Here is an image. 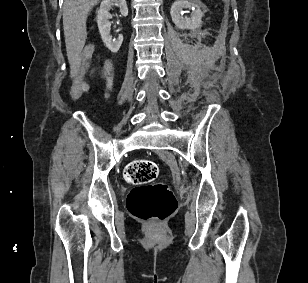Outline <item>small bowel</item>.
<instances>
[{"label":"small bowel","mask_w":308,"mask_h":283,"mask_svg":"<svg viewBox=\"0 0 308 283\" xmlns=\"http://www.w3.org/2000/svg\"><path fill=\"white\" fill-rule=\"evenodd\" d=\"M77 60H75L71 66V74L74 75L75 73V63H76ZM102 77L106 80V83H107V86L109 89L112 88L113 86V82H112V78H111V74H110V66L109 65H106L104 67V69L100 72L98 71H95V70H90L89 71V74H88V78L89 79H92V78H95V77Z\"/></svg>","instance_id":"obj_1"}]
</instances>
